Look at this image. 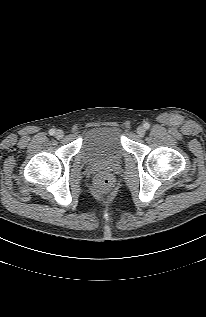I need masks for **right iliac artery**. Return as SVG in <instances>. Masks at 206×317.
<instances>
[{
    "label": "right iliac artery",
    "mask_w": 206,
    "mask_h": 317,
    "mask_svg": "<svg viewBox=\"0 0 206 317\" xmlns=\"http://www.w3.org/2000/svg\"><path fill=\"white\" fill-rule=\"evenodd\" d=\"M49 134H50V135H54V134H55V130H54V129H50V130H49Z\"/></svg>",
    "instance_id": "obj_1"
}]
</instances>
